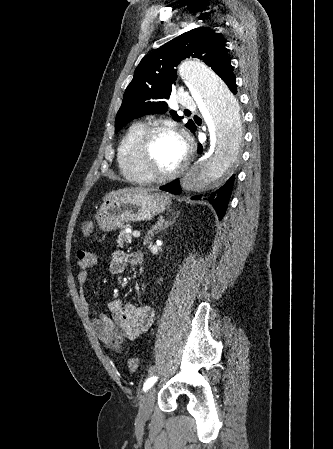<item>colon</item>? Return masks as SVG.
<instances>
[{
  "instance_id": "5ec220e1",
  "label": "colon",
  "mask_w": 333,
  "mask_h": 449,
  "mask_svg": "<svg viewBox=\"0 0 333 449\" xmlns=\"http://www.w3.org/2000/svg\"><path fill=\"white\" fill-rule=\"evenodd\" d=\"M81 231L83 236L85 237L90 236L93 231V223L91 221H86L85 223H83ZM127 366L129 371L132 373L137 372L140 368L139 361L135 357H131L128 359Z\"/></svg>"
}]
</instances>
